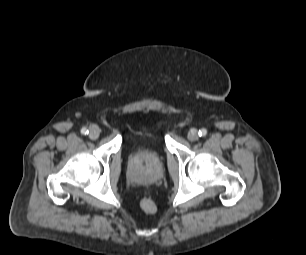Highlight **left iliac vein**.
<instances>
[{
	"label": "left iliac vein",
	"instance_id": "left-iliac-vein-1",
	"mask_svg": "<svg viewBox=\"0 0 306 255\" xmlns=\"http://www.w3.org/2000/svg\"><path fill=\"white\" fill-rule=\"evenodd\" d=\"M187 138L190 141H196L199 138L198 131L196 129H191L187 134Z\"/></svg>",
	"mask_w": 306,
	"mask_h": 255
}]
</instances>
